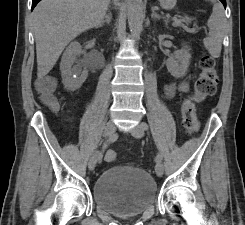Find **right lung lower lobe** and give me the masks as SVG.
Segmentation results:
<instances>
[{
	"instance_id": "1",
	"label": "right lung lower lobe",
	"mask_w": 245,
	"mask_h": 225,
	"mask_svg": "<svg viewBox=\"0 0 245 225\" xmlns=\"http://www.w3.org/2000/svg\"><path fill=\"white\" fill-rule=\"evenodd\" d=\"M41 0H32V9L36 6V4Z\"/></svg>"
}]
</instances>
